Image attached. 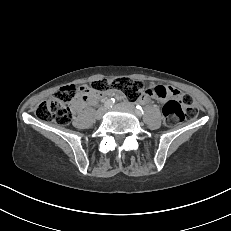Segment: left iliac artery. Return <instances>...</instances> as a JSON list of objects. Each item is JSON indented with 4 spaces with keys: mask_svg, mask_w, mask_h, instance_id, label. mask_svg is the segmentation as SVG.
Returning a JSON list of instances; mask_svg holds the SVG:
<instances>
[{
    "mask_svg": "<svg viewBox=\"0 0 231 231\" xmlns=\"http://www.w3.org/2000/svg\"><path fill=\"white\" fill-rule=\"evenodd\" d=\"M136 114L139 116H142L144 114V111L140 105L136 106Z\"/></svg>",
    "mask_w": 231,
    "mask_h": 231,
    "instance_id": "left-iliac-artery-1",
    "label": "left iliac artery"
}]
</instances>
